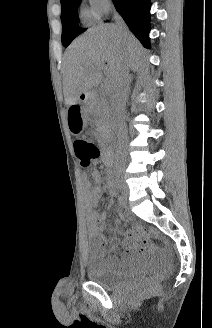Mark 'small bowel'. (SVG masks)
<instances>
[{
  "label": "small bowel",
  "mask_w": 212,
  "mask_h": 328,
  "mask_svg": "<svg viewBox=\"0 0 212 328\" xmlns=\"http://www.w3.org/2000/svg\"><path fill=\"white\" fill-rule=\"evenodd\" d=\"M90 181L85 173L81 175L82 190L85 200V218L88 226V233L91 239V246L95 257L103 255L105 247L114 243L113 239H106L103 235L107 213H98L96 208L101 194L102 175L99 171L91 172ZM149 234L138 225L131 227L124 238V254L122 258L111 256L106 259L107 267L114 271H122L133 257L136 251L149 252L152 246L148 241Z\"/></svg>",
  "instance_id": "small-bowel-1"
}]
</instances>
